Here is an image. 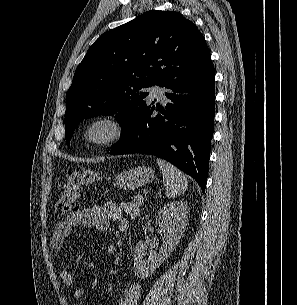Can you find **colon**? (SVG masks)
<instances>
[{"label":"colon","instance_id":"5ec220e1","mask_svg":"<svg viewBox=\"0 0 297 305\" xmlns=\"http://www.w3.org/2000/svg\"><path fill=\"white\" fill-rule=\"evenodd\" d=\"M97 180L98 174L94 170L79 168L70 171L59 194L56 204L57 213L67 214L76 211L80 206V189Z\"/></svg>","mask_w":297,"mask_h":305}]
</instances>
